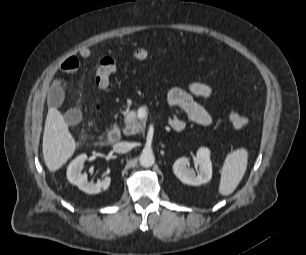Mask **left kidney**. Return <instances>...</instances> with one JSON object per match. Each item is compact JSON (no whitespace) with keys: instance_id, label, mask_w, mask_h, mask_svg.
I'll list each match as a JSON object with an SVG mask.
<instances>
[{"instance_id":"5707ae66","label":"left kidney","mask_w":306,"mask_h":255,"mask_svg":"<svg viewBox=\"0 0 306 255\" xmlns=\"http://www.w3.org/2000/svg\"><path fill=\"white\" fill-rule=\"evenodd\" d=\"M192 161L198 169V174H196L193 168H190V158L181 157L173 164L175 176L181 182L193 186L209 182L212 178V164L209 149L205 147L199 148L196 157H193Z\"/></svg>"}]
</instances>
